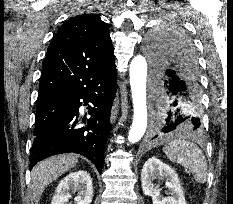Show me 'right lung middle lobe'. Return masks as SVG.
Segmentation results:
<instances>
[{
    "instance_id": "obj_1",
    "label": "right lung middle lobe",
    "mask_w": 233,
    "mask_h": 204,
    "mask_svg": "<svg viewBox=\"0 0 233 204\" xmlns=\"http://www.w3.org/2000/svg\"><path fill=\"white\" fill-rule=\"evenodd\" d=\"M56 96L49 97L38 102L36 108V124L34 136L38 137L46 133L63 116V112L57 108L54 102Z\"/></svg>"
}]
</instances>
